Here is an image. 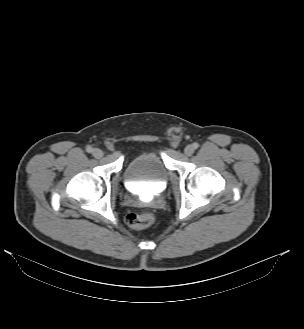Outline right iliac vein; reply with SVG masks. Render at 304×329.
Returning <instances> with one entry per match:
<instances>
[{
	"instance_id": "63e3f726",
	"label": "right iliac vein",
	"mask_w": 304,
	"mask_h": 329,
	"mask_svg": "<svg viewBox=\"0 0 304 329\" xmlns=\"http://www.w3.org/2000/svg\"><path fill=\"white\" fill-rule=\"evenodd\" d=\"M93 156L95 157V158H97V159H99V158H101L102 156H103V152H102V150H100L99 148H95L94 150H93Z\"/></svg>"
}]
</instances>
